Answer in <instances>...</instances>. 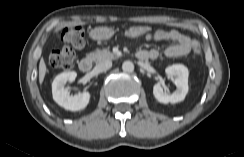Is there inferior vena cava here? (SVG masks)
<instances>
[{
  "instance_id": "inferior-vena-cava-1",
  "label": "inferior vena cava",
  "mask_w": 244,
  "mask_h": 157,
  "mask_svg": "<svg viewBox=\"0 0 244 157\" xmlns=\"http://www.w3.org/2000/svg\"><path fill=\"white\" fill-rule=\"evenodd\" d=\"M112 66V62L111 60H104V61H101L99 62L96 66H95V69L98 71V72H105L107 70H109Z\"/></svg>"
}]
</instances>
